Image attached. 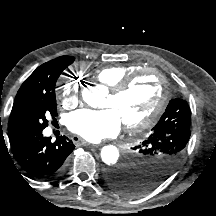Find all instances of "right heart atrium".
Wrapping results in <instances>:
<instances>
[{
	"label": "right heart atrium",
	"instance_id": "d8ad5b80",
	"mask_svg": "<svg viewBox=\"0 0 216 216\" xmlns=\"http://www.w3.org/2000/svg\"><path fill=\"white\" fill-rule=\"evenodd\" d=\"M81 83L77 78H63L57 90V99L68 107L78 105L80 101Z\"/></svg>",
	"mask_w": 216,
	"mask_h": 216
}]
</instances>
